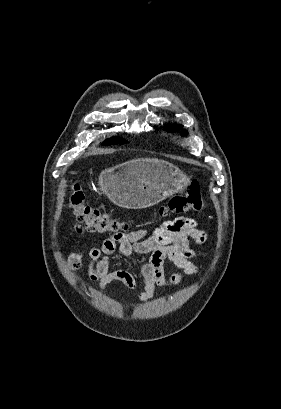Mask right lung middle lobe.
Masks as SVG:
<instances>
[{"mask_svg": "<svg viewBox=\"0 0 281 409\" xmlns=\"http://www.w3.org/2000/svg\"><path fill=\"white\" fill-rule=\"evenodd\" d=\"M125 141L119 137H114L112 139L106 140L103 145H111V144H123Z\"/></svg>", "mask_w": 281, "mask_h": 409, "instance_id": "1", "label": "right lung middle lobe"}]
</instances>
